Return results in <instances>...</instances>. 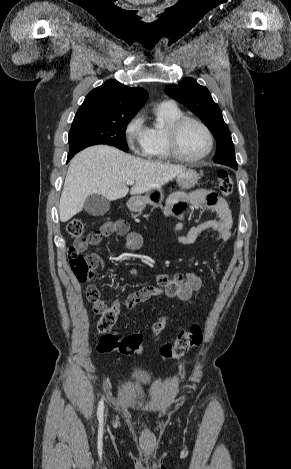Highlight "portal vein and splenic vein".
<instances>
[{"instance_id":"18ae733b","label":"portal vein and splenic vein","mask_w":291,"mask_h":469,"mask_svg":"<svg viewBox=\"0 0 291 469\" xmlns=\"http://www.w3.org/2000/svg\"><path fill=\"white\" fill-rule=\"evenodd\" d=\"M127 184H128V185L134 184V180H127Z\"/></svg>"}]
</instances>
